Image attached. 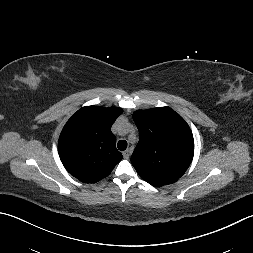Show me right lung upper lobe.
<instances>
[{"label":"right lung upper lobe","mask_w":253,"mask_h":253,"mask_svg":"<svg viewBox=\"0 0 253 253\" xmlns=\"http://www.w3.org/2000/svg\"><path fill=\"white\" fill-rule=\"evenodd\" d=\"M123 110L117 107L87 106L65 124L58 141V152L66 170L85 183L108 176L122 159L116 149L111 126Z\"/></svg>","instance_id":"1"}]
</instances>
